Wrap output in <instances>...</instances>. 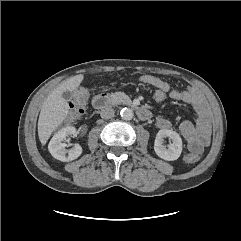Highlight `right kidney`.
<instances>
[{"label": "right kidney", "mask_w": 241, "mask_h": 241, "mask_svg": "<svg viewBox=\"0 0 241 241\" xmlns=\"http://www.w3.org/2000/svg\"><path fill=\"white\" fill-rule=\"evenodd\" d=\"M78 131L74 127H65L58 131L50 140L48 149L51 155L63 162L77 159L82 154V147L75 144L71 149H66L67 144L63 140L68 136H76Z\"/></svg>", "instance_id": "right-kidney-1"}]
</instances>
